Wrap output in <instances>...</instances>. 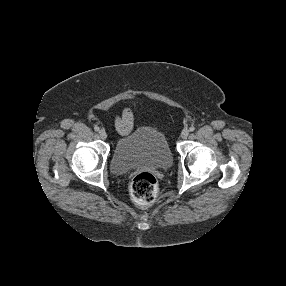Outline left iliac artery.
<instances>
[{"label": "left iliac artery", "mask_w": 286, "mask_h": 286, "mask_svg": "<svg viewBox=\"0 0 286 286\" xmlns=\"http://www.w3.org/2000/svg\"><path fill=\"white\" fill-rule=\"evenodd\" d=\"M189 130H190L191 132H193V131L195 130V127H194V126H191V127L189 128Z\"/></svg>", "instance_id": "obj_1"}]
</instances>
